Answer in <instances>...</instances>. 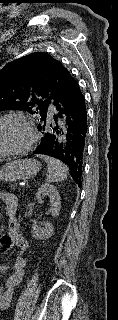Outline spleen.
<instances>
[{
	"instance_id": "spleen-1",
	"label": "spleen",
	"mask_w": 118,
	"mask_h": 320,
	"mask_svg": "<svg viewBox=\"0 0 118 320\" xmlns=\"http://www.w3.org/2000/svg\"><path fill=\"white\" fill-rule=\"evenodd\" d=\"M40 158H42L47 163L46 182L48 184L64 181L65 179H67L68 167L64 163L49 156H41Z\"/></svg>"
}]
</instances>
